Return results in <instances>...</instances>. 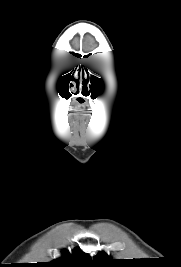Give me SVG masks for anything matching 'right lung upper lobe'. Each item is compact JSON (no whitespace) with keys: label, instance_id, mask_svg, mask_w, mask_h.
<instances>
[{"label":"right lung upper lobe","instance_id":"right-lung-upper-lobe-1","mask_svg":"<svg viewBox=\"0 0 181 267\" xmlns=\"http://www.w3.org/2000/svg\"><path fill=\"white\" fill-rule=\"evenodd\" d=\"M63 256L48 262L49 267H87L91 263L89 255L85 254L79 248H75L70 254L68 251H62Z\"/></svg>","mask_w":181,"mask_h":267}]
</instances>
